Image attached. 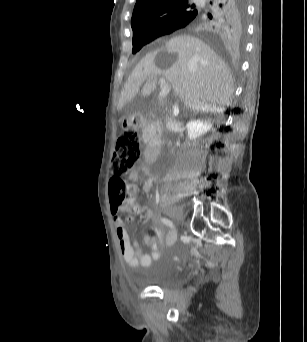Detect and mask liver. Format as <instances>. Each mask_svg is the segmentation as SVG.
Here are the masks:
<instances>
[{"mask_svg": "<svg viewBox=\"0 0 307 342\" xmlns=\"http://www.w3.org/2000/svg\"><path fill=\"white\" fill-rule=\"evenodd\" d=\"M157 76L171 82L176 96L190 110L219 112L222 106H230L234 86L225 62L202 40L176 36L166 44H156V50L138 62L123 86L117 110L139 92L143 98L153 94Z\"/></svg>", "mask_w": 307, "mask_h": 342, "instance_id": "6515ba94", "label": "liver"}]
</instances>
